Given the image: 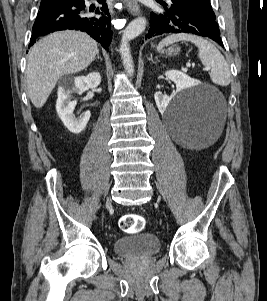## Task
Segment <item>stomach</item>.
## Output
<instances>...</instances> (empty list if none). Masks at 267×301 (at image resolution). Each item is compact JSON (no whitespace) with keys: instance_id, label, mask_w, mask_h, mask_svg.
<instances>
[{"instance_id":"stomach-1","label":"stomach","mask_w":267,"mask_h":301,"mask_svg":"<svg viewBox=\"0 0 267 301\" xmlns=\"http://www.w3.org/2000/svg\"><path fill=\"white\" fill-rule=\"evenodd\" d=\"M179 47H169L167 50L158 49L159 52L167 55H176L179 52Z\"/></svg>"}]
</instances>
